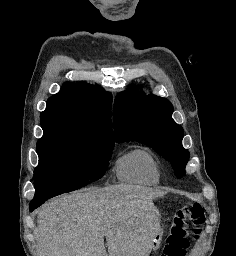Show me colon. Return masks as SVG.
<instances>
[{
	"label": "colon",
	"mask_w": 236,
	"mask_h": 256,
	"mask_svg": "<svg viewBox=\"0 0 236 256\" xmlns=\"http://www.w3.org/2000/svg\"><path fill=\"white\" fill-rule=\"evenodd\" d=\"M189 221L193 225L192 235L198 239L206 221L205 209L200 202L189 201L176 210L172 216L162 256H186L189 247L187 238Z\"/></svg>",
	"instance_id": "colon-1"
}]
</instances>
